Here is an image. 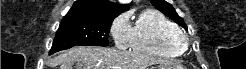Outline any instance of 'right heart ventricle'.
I'll use <instances>...</instances> for the list:
<instances>
[{"mask_svg": "<svg viewBox=\"0 0 246 69\" xmlns=\"http://www.w3.org/2000/svg\"><path fill=\"white\" fill-rule=\"evenodd\" d=\"M178 27L165 14L155 9L143 10L130 29L129 47L133 51L160 57L180 53Z\"/></svg>", "mask_w": 246, "mask_h": 69, "instance_id": "right-heart-ventricle-1", "label": "right heart ventricle"}]
</instances>
